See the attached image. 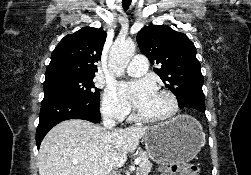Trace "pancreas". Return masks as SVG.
Returning <instances> with one entry per match:
<instances>
[{
    "label": "pancreas",
    "instance_id": "1",
    "mask_svg": "<svg viewBox=\"0 0 251 175\" xmlns=\"http://www.w3.org/2000/svg\"><path fill=\"white\" fill-rule=\"evenodd\" d=\"M139 167L137 169V173L136 175H147V173H149V171H151L152 169V163L148 157V155H146V151H139Z\"/></svg>",
    "mask_w": 251,
    "mask_h": 175
}]
</instances>
